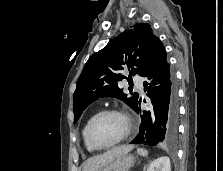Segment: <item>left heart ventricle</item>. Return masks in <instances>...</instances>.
Wrapping results in <instances>:
<instances>
[{
	"instance_id": "1",
	"label": "left heart ventricle",
	"mask_w": 223,
	"mask_h": 171,
	"mask_svg": "<svg viewBox=\"0 0 223 171\" xmlns=\"http://www.w3.org/2000/svg\"><path fill=\"white\" fill-rule=\"evenodd\" d=\"M125 128V121L122 117L109 114L95 122L91 135L97 144L108 145L118 140L124 134Z\"/></svg>"
}]
</instances>
